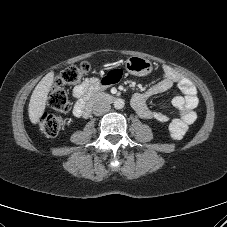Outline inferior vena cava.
Wrapping results in <instances>:
<instances>
[{
	"label": "inferior vena cava",
	"mask_w": 227,
	"mask_h": 227,
	"mask_svg": "<svg viewBox=\"0 0 227 227\" xmlns=\"http://www.w3.org/2000/svg\"><path fill=\"white\" fill-rule=\"evenodd\" d=\"M110 109H111L110 104L103 102V101H99L94 104L93 113L96 116H100V115H103V114L109 112Z\"/></svg>",
	"instance_id": "1"
}]
</instances>
